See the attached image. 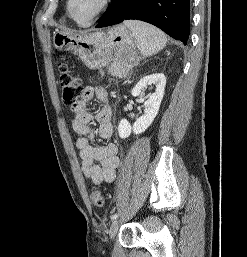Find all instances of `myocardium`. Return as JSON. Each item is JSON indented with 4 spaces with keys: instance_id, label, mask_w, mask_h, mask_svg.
I'll list each match as a JSON object with an SVG mask.
<instances>
[{
    "instance_id": "obj_1",
    "label": "myocardium",
    "mask_w": 247,
    "mask_h": 257,
    "mask_svg": "<svg viewBox=\"0 0 247 257\" xmlns=\"http://www.w3.org/2000/svg\"><path fill=\"white\" fill-rule=\"evenodd\" d=\"M71 3H72V0H67L66 1V11H67V14H68V17L78 26L80 27H89L91 26L92 24H94L99 18L100 16L108 9L110 3H111V0H101L100 2V6L99 8L97 9V11L93 14V16L85 21V22H81L79 21L72 13V10H71Z\"/></svg>"
}]
</instances>
